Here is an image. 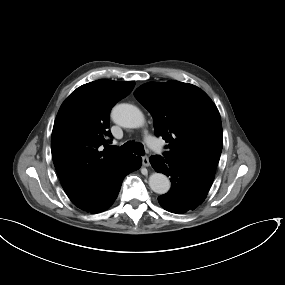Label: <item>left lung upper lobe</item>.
Instances as JSON below:
<instances>
[{"label":"left lung upper lobe","instance_id":"1","mask_svg":"<svg viewBox=\"0 0 285 285\" xmlns=\"http://www.w3.org/2000/svg\"><path fill=\"white\" fill-rule=\"evenodd\" d=\"M136 99L151 113L154 131L169 143L164 157L215 174L223 146L219 111L195 85L149 82Z\"/></svg>","mask_w":285,"mask_h":285}]
</instances>
